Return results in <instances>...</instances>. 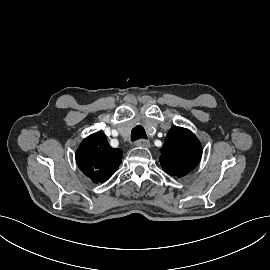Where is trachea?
I'll use <instances>...</instances> for the list:
<instances>
[{
    "label": "trachea",
    "instance_id": "trachea-1",
    "mask_svg": "<svg viewBox=\"0 0 270 270\" xmlns=\"http://www.w3.org/2000/svg\"><path fill=\"white\" fill-rule=\"evenodd\" d=\"M138 139H147V135L142 126H136L131 131V141H136Z\"/></svg>",
    "mask_w": 270,
    "mask_h": 270
}]
</instances>
